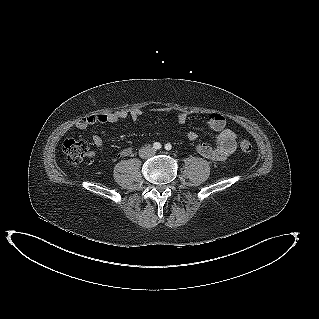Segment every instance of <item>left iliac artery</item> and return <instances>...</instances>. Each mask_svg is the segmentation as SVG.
I'll list each match as a JSON object with an SVG mask.
<instances>
[{"label":"left iliac artery","instance_id":"left-iliac-artery-1","mask_svg":"<svg viewBox=\"0 0 319 319\" xmlns=\"http://www.w3.org/2000/svg\"><path fill=\"white\" fill-rule=\"evenodd\" d=\"M171 148H172V145L170 144V143H167L166 145H165V149L166 150H171Z\"/></svg>","mask_w":319,"mask_h":319}]
</instances>
